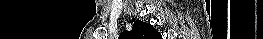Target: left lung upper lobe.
Here are the masks:
<instances>
[{
	"mask_svg": "<svg viewBox=\"0 0 263 39\" xmlns=\"http://www.w3.org/2000/svg\"><path fill=\"white\" fill-rule=\"evenodd\" d=\"M119 38L121 39H159L161 35L153 28L151 24L140 20L135 21L131 31H123Z\"/></svg>",
	"mask_w": 263,
	"mask_h": 39,
	"instance_id": "1",
	"label": "left lung upper lobe"
}]
</instances>
